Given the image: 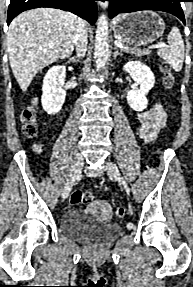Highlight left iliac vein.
<instances>
[{
    "label": "left iliac vein",
    "instance_id": "obj_1",
    "mask_svg": "<svg viewBox=\"0 0 193 287\" xmlns=\"http://www.w3.org/2000/svg\"><path fill=\"white\" fill-rule=\"evenodd\" d=\"M106 172L110 178H116L122 184L127 194H129L130 190L128 184L122 177L121 173L119 172L117 166L109 161H106Z\"/></svg>",
    "mask_w": 193,
    "mask_h": 287
}]
</instances>
